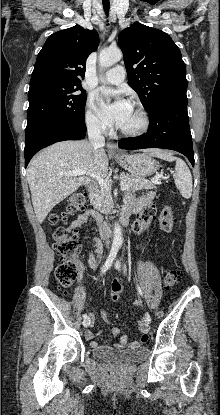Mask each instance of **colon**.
I'll return each mask as SVG.
<instances>
[{"label":"colon","mask_w":220,"mask_h":415,"mask_svg":"<svg viewBox=\"0 0 220 415\" xmlns=\"http://www.w3.org/2000/svg\"><path fill=\"white\" fill-rule=\"evenodd\" d=\"M87 193L84 191H77L70 195L66 205L60 212L52 213L49 218V224L58 226L65 222L69 217L82 211L87 204ZM156 209L152 205H148L143 209L142 215L147 217H154ZM159 222L161 228L165 232H171L174 228L175 217L170 207L166 206L159 215ZM54 248L60 257V263L56 268L55 276L62 288L70 287L78 276L80 263L77 258V253L80 248V241L78 235L74 232L68 231L64 228H57L53 234ZM178 273L175 270H170L164 277V284L166 288L173 287L178 281ZM120 294L112 292L111 300L116 302ZM144 339H148L149 335L144 334Z\"/></svg>","instance_id":"5ec220e1"}]
</instances>
